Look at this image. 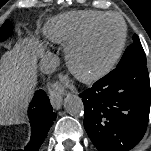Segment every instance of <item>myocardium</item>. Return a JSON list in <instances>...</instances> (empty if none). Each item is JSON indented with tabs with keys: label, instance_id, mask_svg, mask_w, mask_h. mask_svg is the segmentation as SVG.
<instances>
[{
	"label": "myocardium",
	"instance_id": "myocardium-1",
	"mask_svg": "<svg viewBox=\"0 0 151 151\" xmlns=\"http://www.w3.org/2000/svg\"><path fill=\"white\" fill-rule=\"evenodd\" d=\"M108 19H116L122 28L121 38L118 47L113 56L102 66L95 69H85L79 62V54L90 40L97 27ZM127 24L125 20L117 13H106L96 19L86 31L66 48V58L70 71L73 75L83 82H94L110 73L122 57L127 41Z\"/></svg>",
	"mask_w": 151,
	"mask_h": 151
}]
</instances>
